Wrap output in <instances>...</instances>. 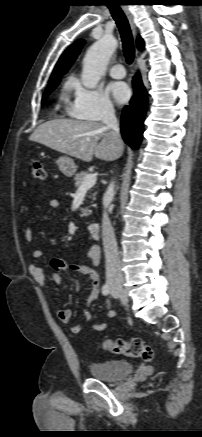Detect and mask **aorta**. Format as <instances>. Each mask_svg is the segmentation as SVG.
I'll list each match as a JSON object with an SVG mask.
<instances>
[{
	"mask_svg": "<svg viewBox=\"0 0 202 437\" xmlns=\"http://www.w3.org/2000/svg\"><path fill=\"white\" fill-rule=\"evenodd\" d=\"M116 48L117 41L113 36H104L89 48L83 60L81 80L84 87L94 89L97 86Z\"/></svg>",
	"mask_w": 202,
	"mask_h": 437,
	"instance_id": "aorta-1",
	"label": "aorta"
}]
</instances>
